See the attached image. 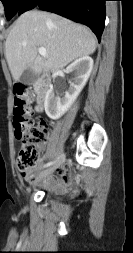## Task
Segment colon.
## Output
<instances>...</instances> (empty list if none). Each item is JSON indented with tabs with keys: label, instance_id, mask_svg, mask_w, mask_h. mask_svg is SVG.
Masks as SVG:
<instances>
[{
	"label": "colon",
	"instance_id": "obj_1",
	"mask_svg": "<svg viewBox=\"0 0 133 253\" xmlns=\"http://www.w3.org/2000/svg\"><path fill=\"white\" fill-rule=\"evenodd\" d=\"M31 90L20 85L14 89V117L13 127L17 140L22 146L17 157V166L20 171H27L37 165L41 144L45 141V123L33 118Z\"/></svg>",
	"mask_w": 133,
	"mask_h": 253
}]
</instances>
